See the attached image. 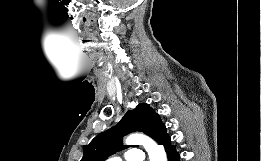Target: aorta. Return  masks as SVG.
<instances>
[{"instance_id":"obj_1","label":"aorta","mask_w":261,"mask_h":161,"mask_svg":"<svg viewBox=\"0 0 261 161\" xmlns=\"http://www.w3.org/2000/svg\"><path fill=\"white\" fill-rule=\"evenodd\" d=\"M128 145H143L149 155L150 161H167V156L162 145H158L150 137L143 134H131L126 139Z\"/></svg>"}]
</instances>
